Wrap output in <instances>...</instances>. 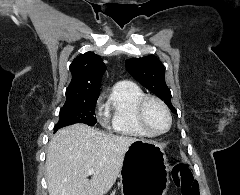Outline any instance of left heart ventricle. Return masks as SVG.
<instances>
[{
	"label": "left heart ventricle",
	"instance_id": "left-heart-ventricle-1",
	"mask_svg": "<svg viewBox=\"0 0 240 195\" xmlns=\"http://www.w3.org/2000/svg\"><path fill=\"white\" fill-rule=\"evenodd\" d=\"M146 119L149 125L157 131H162L167 126V118L163 110L155 103L147 105Z\"/></svg>",
	"mask_w": 240,
	"mask_h": 195
}]
</instances>
